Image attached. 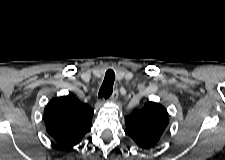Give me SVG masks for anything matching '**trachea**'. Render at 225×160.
<instances>
[{"label":"trachea","mask_w":225,"mask_h":160,"mask_svg":"<svg viewBox=\"0 0 225 160\" xmlns=\"http://www.w3.org/2000/svg\"><path fill=\"white\" fill-rule=\"evenodd\" d=\"M114 80H115L114 71L111 69L107 70L104 81L98 93L99 98L103 97L107 99L112 95Z\"/></svg>","instance_id":"trachea-1"}]
</instances>
